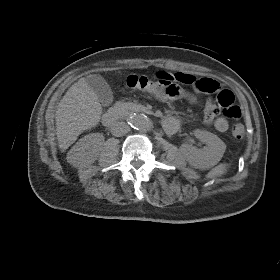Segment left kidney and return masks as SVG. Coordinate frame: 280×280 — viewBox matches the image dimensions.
Wrapping results in <instances>:
<instances>
[{"instance_id": "5707ae66", "label": "left kidney", "mask_w": 280, "mask_h": 280, "mask_svg": "<svg viewBox=\"0 0 280 280\" xmlns=\"http://www.w3.org/2000/svg\"><path fill=\"white\" fill-rule=\"evenodd\" d=\"M194 135L196 138L206 143L207 146L203 149H198L190 144H182L181 150L191 165L198 168L201 165L211 163L222 156L226 146L217 135L199 129L194 131Z\"/></svg>"}]
</instances>
